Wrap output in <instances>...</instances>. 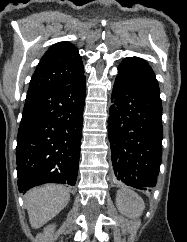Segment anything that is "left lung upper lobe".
I'll return each instance as SVG.
<instances>
[{"label": "left lung upper lobe", "mask_w": 187, "mask_h": 242, "mask_svg": "<svg viewBox=\"0 0 187 242\" xmlns=\"http://www.w3.org/2000/svg\"><path fill=\"white\" fill-rule=\"evenodd\" d=\"M118 73L141 85L160 92L155 74L150 65L139 57H127L118 67Z\"/></svg>", "instance_id": "left-lung-upper-lobe-1"}]
</instances>
